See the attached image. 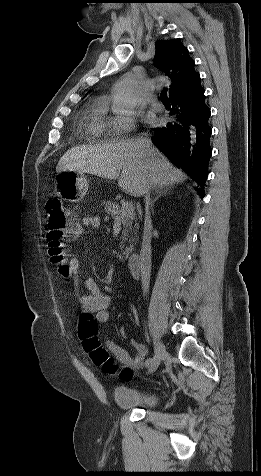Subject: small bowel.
Wrapping results in <instances>:
<instances>
[{
	"instance_id": "1",
	"label": "small bowel",
	"mask_w": 261,
	"mask_h": 476,
	"mask_svg": "<svg viewBox=\"0 0 261 476\" xmlns=\"http://www.w3.org/2000/svg\"><path fill=\"white\" fill-rule=\"evenodd\" d=\"M101 225V219L98 216H86L78 223L74 237L80 236L86 228L98 229ZM69 274L72 278L75 294L78 296L83 313H90L94 316L95 323L105 324L109 319V308L112 305V298L102 292L98 284L93 279H86L82 283L79 280L80 260L75 254H71L68 262ZM83 287L88 294H81L80 288ZM131 310L133 308L131 307ZM119 334L125 338L127 331L125 328L119 329ZM131 345L135 349V354L130 355L129 352L116 344L110 339L105 340V348L121 363L122 367L137 370L144 364L146 356V347L143 343L131 340ZM116 372V371H115ZM108 373L109 375H114Z\"/></svg>"
}]
</instances>
